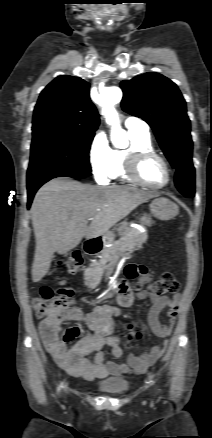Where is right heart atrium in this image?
<instances>
[{
	"instance_id": "1",
	"label": "right heart atrium",
	"mask_w": 212,
	"mask_h": 438,
	"mask_svg": "<svg viewBox=\"0 0 212 438\" xmlns=\"http://www.w3.org/2000/svg\"><path fill=\"white\" fill-rule=\"evenodd\" d=\"M88 160L95 179L99 183L107 182L112 168V157L103 131L97 132L92 138L88 149Z\"/></svg>"
}]
</instances>
